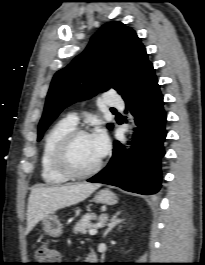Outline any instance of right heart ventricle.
Returning <instances> with one entry per match:
<instances>
[{
    "label": "right heart ventricle",
    "mask_w": 205,
    "mask_h": 265,
    "mask_svg": "<svg viewBox=\"0 0 205 265\" xmlns=\"http://www.w3.org/2000/svg\"><path fill=\"white\" fill-rule=\"evenodd\" d=\"M75 129V124L67 118L55 123L46 133L41 151V177L50 185L65 183L68 178L60 174L53 165V155L60 140L70 131Z\"/></svg>",
    "instance_id": "e07e8e85"
}]
</instances>
